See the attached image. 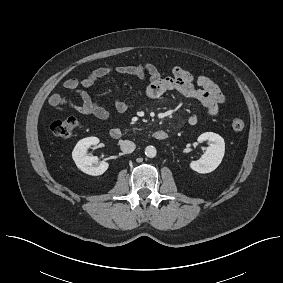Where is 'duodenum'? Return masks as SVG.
Wrapping results in <instances>:
<instances>
[{
    "instance_id": "duodenum-1",
    "label": "duodenum",
    "mask_w": 283,
    "mask_h": 283,
    "mask_svg": "<svg viewBox=\"0 0 283 283\" xmlns=\"http://www.w3.org/2000/svg\"><path fill=\"white\" fill-rule=\"evenodd\" d=\"M109 135L114 140H119L122 137V132L118 128H112L109 132ZM156 140L162 141L168 138L169 134L166 131L159 130L153 134Z\"/></svg>"
}]
</instances>
